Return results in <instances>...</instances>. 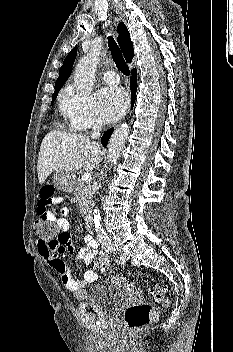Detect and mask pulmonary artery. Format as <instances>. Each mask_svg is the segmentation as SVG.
Segmentation results:
<instances>
[{"label":"pulmonary artery","mask_w":233,"mask_h":352,"mask_svg":"<svg viewBox=\"0 0 233 352\" xmlns=\"http://www.w3.org/2000/svg\"><path fill=\"white\" fill-rule=\"evenodd\" d=\"M102 77L103 80L109 85H117L119 83V77L114 71L104 72Z\"/></svg>","instance_id":"e3ab8cb5"}]
</instances>
